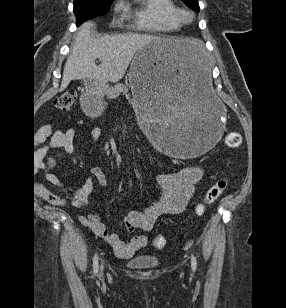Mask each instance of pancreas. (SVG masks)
<instances>
[{"label":"pancreas","instance_id":"pancreas-1","mask_svg":"<svg viewBox=\"0 0 286 308\" xmlns=\"http://www.w3.org/2000/svg\"><path fill=\"white\" fill-rule=\"evenodd\" d=\"M128 93V87L122 84H117L114 87H110L106 89L105 94L108 99H115L120 94H127Z\"/></svg>","mask_w":286,"mask_h":308}]
</instances>
